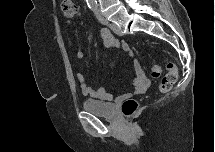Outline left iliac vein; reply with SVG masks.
Here are the masks:
<instances>
[{
	"label": "left iliac vein",
	"mask_w": 215,
	"mask_h": 152,
	"mask_svg": "<svg viewBox=\"0 0 215 152\" xmlns=\"http://www.w3.org/2000/svg\"><path fill=\"white\" fill-rule=\"evenodd\" d=\"M109 27H110V29H111L115 34H117V35H122V34H123L122 31L120 30V28H119L116 24H114V23H109Z\"/></svg>",
	"instance_id": "4c4485c4"
}]
</instances>
